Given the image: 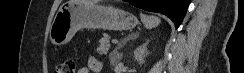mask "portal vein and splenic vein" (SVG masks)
<instances>
[{"instance_id":"obj_1","label":"portal vein and splenic vein","mask_w":244,"mask_h":73,"mask_svg":"<svg viewBox=\"0 0 244 73\" xmlns=\"http://www.w3.org/2000/svg\"><path fill=\"white\" fill-rule=\"evenodd\" d=\"M112 43H113V44H116V43H118V41H117L116 39H113V40H112Z\"/></svg>"}]
</instances>
